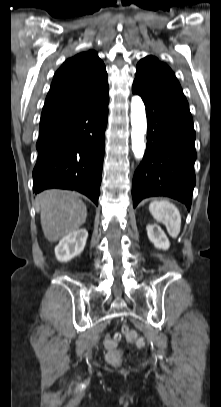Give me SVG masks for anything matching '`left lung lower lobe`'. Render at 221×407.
I'll list each match as a JSON object with an SVG mask.
<instances>
[{"label":"left lung lower lobe","mask_w":221,"mask_h":407,"mask_svg":"<svg viewBox=\"0 0 221 407\" xmlns=\"http://www.w3.org/2000/svg\"><path fill=\"white\" fill-rule=\"evenodd\" d=\"M147 114V148L133 178V206L147 197L176 199L190 210L195 186V131L181 88L148 89L133 83Z\"/></svg>","instance_id":"1"}]
</instances>
